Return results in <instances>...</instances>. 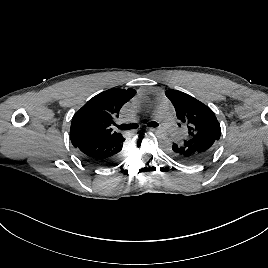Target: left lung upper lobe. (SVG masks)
Wrapping results in <instances>:
<instances>
[{
  "instance_id": "obj_1",
  "label": "left lung upper lobe",
  "mask_w": 268,
  "mask_h": 268,
  "mask_svg": "<svg viewBox=\"0 0 268 268\" xmlns=\"http://www.w3.org/2000/svg\"><path fill=\"white\" fill-rule=\"evenodd\" d=\"M165 94L172 102L177 118L187 125L188 137L206 136L217 141L220 139V124L208 106L177 90H167Z\"/></svg>"
}]
</instances>
